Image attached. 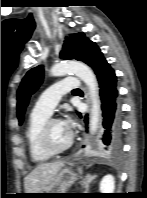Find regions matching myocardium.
<instances>
[{"label":"myocardium","instance_id":"myocardium-1","mask_svg":"<svg viewBox=\"0 0 147 198\" xmlns=\"http://www.w3.org/2000/svg\"><path fill=\"white\" fill-rule=\"evenodd\" d=\"M55 121H59V120L58 119H48L44 123V125L41 129V133H40L41 146H42L43 150L46 153L50 154L51 156L61 154V153L65 152L66 150H68L72 146L73 139H74L73 134L70 133L69 140L64 146L59 147V148L55 147L51 142L50 133H49L50 125L52 122H55Z\"/></svg>","mask_w":147,"mask_h":198}]
</instances>
